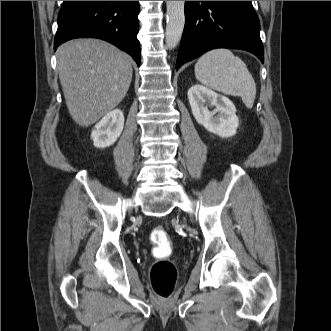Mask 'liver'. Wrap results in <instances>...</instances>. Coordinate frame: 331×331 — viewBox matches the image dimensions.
<instances>
[{"mask_svg":"<svg viewBox=\"0 0 331 331\" xmlns=\"http://www.w3.org/2000/svg\"><path fill=\"white\" fill-rule=\"evenodd\" d=\"M57 64L68 111L83 127L112 111L132 80L129 57L98 39H75L60 45Z\"/></svg>","mask_w":331,"mask_h":331,"instance_id":"6515ba94","label":"liver"}]
</instances>
